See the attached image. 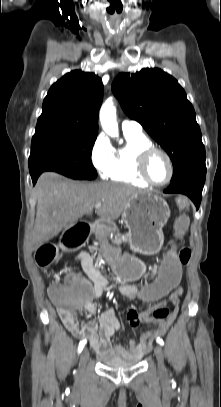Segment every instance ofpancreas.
I'll use <instances>...</instances> for the list:
<instances>
[{
    "label": "pancreas",
    "instance_id": "obj_1",
    "mask_svg": "<svg viewBox=\"0 0 221 407\" xmlns=\"http://www.w3.org/2000/svg\"><path fill=\"white\" fill-rule=\"evenodd\" d=\"M127 241H128V237L127 236H119L118 237V239H116V240H112V242L114 243V244H121V243H127Z\"/></svg>",
    "mask_w": 221,
    "mask_h": 407
}]
</instances>
